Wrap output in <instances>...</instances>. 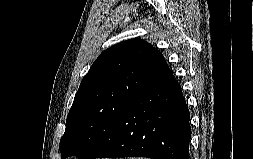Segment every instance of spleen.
I'll list each match as a JSON object with an SVG mask.
<instances>
[{"instance_id": "3e777b00", "label": "spleen", "mask_w": 253, "mask_h": 159, "mask_svg": "<svg viewBox=\"0 0 253 159\" xmlns=\"http://www.w3.org/2000/svg\"><path fill=\"white\" fill-rule=\"evenodd\" d=\"M129 159H145V158L132 157V158H129Z\"/></svg>"}]
</instances>
